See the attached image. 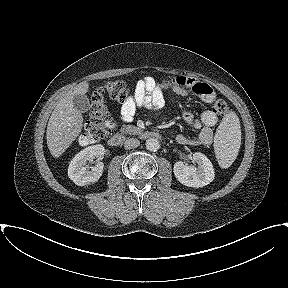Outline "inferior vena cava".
Here are the masks:
<instances>
[{
	"mask_svg": "<svg viewBox=\"0 0 288 288\" xmlns=\"http://www.w3.org/2000/svg\"><path fill=\"white\" fill-rule=\"evenodd\" d=\"M140 145V141L136 138H129L124 142L125 149H133Z\"/></svg>",
	"mask_w": 288,
	"mask_h": 288,
	"instance_id": "obj_1",
	"label": "inferior vena cava"
}]
</instances>
